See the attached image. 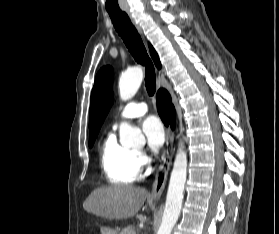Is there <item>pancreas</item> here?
Returning a JSON list of instances; mask_svg holds the SVG:
<instances>
[{
	"label": "pancreas",
	"mask_w": 279,
	"mask_h": 234,
	"mask_svg": "<svg viewBox=\"0 0 279 234\" xmlns=\"http://www.w3.org/2000/svg\"><path fill=\"white\" fill-rule=\"evenodd\" d=\"M119 234H135L134 232V227L133 226H128L122 229V231Z\"/></svg>",
	"instance_id": "obj_1"
}]
</instances>
